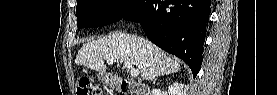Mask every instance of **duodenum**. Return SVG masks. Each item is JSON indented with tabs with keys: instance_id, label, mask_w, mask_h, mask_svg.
<instances>
[{
	"instance_id": "obj_1",
	"label": "duodenum",
	"mask_w": 277,
	"mask_h": 95,
	"mask_svg": "<svg viewBox=\"0 0 277 95\" xmlns=\"http://www.w3.org/2000/svg\"><path fill=\"white\" fill-rule=\"evenodd\" d=\"M112 88H118L123 94L145 95V87L140 83L131 82L113 76H106Z\"/></svg>"
}]
</instances>
